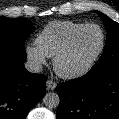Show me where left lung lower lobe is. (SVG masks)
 Returning a JSON list of instances; mask_svg holds the SVG:
<instances>
[{"label": "left lung lower lobe", "mask_w": 119, "mask_h": 119, "mask_svg": "<svg viewBox=\"0 0 119 119\" xmlns=\"http://www.w3.org/2000/svg\"><path fill=\"white\" fill-rule=\"evenodd\" d=\"M57 119H119V64L57 86Z\"/></svg>", "instance_id": "1"}]
</instances>
